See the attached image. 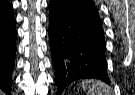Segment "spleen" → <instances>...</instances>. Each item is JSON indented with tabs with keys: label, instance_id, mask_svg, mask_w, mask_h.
Instances as JSON below:
<instances>
[{
	"label": "spleen",
	"instance_id": "spleen-1",
	"mask_svg": "<svg viewBox=\"0 0 135 95\" xmlns=\"http://www.w3.org/2000/svg\"><path fill=\"white\" fill-rule=\"evenodd\" d=\"M82 88L87 95H111L110 88L101 81L85 80L82 82Z\"/></svg>",
	"mask_w": 135,
	"mask_h": 95
}]
</instances>
